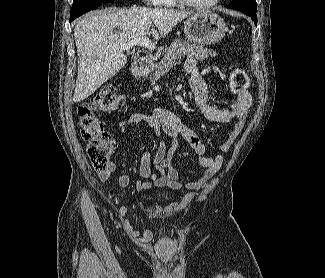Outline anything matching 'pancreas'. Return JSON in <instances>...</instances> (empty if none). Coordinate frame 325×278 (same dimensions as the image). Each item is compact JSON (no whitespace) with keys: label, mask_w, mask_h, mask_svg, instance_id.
<instances>
[{"label":"pancreas","mask_w":325,"mask_h":278,"mask_svg":"<svg viewBox=\"0 0 325 278\" xmlns=\"http://www.w3.org/2000/svg\"><path fill=\"white\" fill-rule=\"evenodd\" d=\"M217 54L211 49H207L201 45L190 44L189 42L181 41L179 39L171 43L164 58L155 63L152 69L151 80H158L165 75L179 60L185 56L193 57L197 60L203 61L210 57H215Z\"/></svg>","instance_id":"1"}]
</instances>
